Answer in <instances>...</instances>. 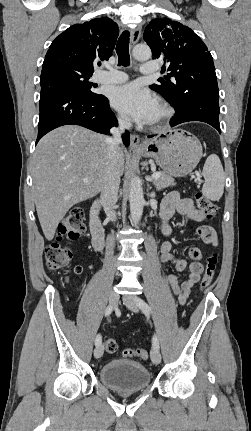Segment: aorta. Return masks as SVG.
<instances>
[{
	"label": "aorta",
	"instance_id": "762f6f07",
	"mask_svg": "<svg viewBox=\"0 0 251 431\" xmlns=\"http://www.w3.org/2000/svg\"><path fill=\"white\" fill-rule=\"evenodd\" d=\"M133 57L136 60H148L151 58V50L147 45H137L132 51ZM130 214L134 224H137L142 217L144 207V195L141 182L138 177H134L130 182Z\"/></svg>",
	"mask_w": 251,
	"mask_h": 431
}]
</instances>
